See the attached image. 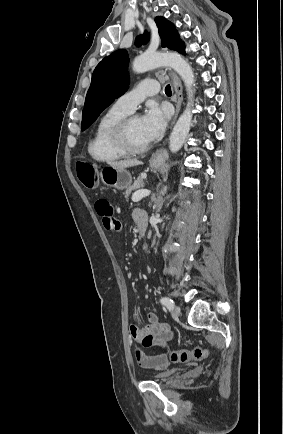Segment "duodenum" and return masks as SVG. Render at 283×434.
<instances>
[{
  "label": "duodenum",
  "mask_w": 283,
  "mask_h": 434,
  "mask_svg": "<svg viewBox=\"0 0 283 434\" xmlns=\"http://www.w3.org/2000/svg\"><path fill=\"white\" fill-rule=\"evenodd\" d=\"M137 226H138L140 238H144L147 229V222L143 220L139 221L137 223Z\"/></svg>",
  "instance_id": "1"
}]
</instances>
